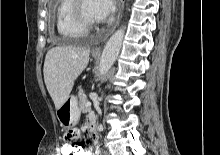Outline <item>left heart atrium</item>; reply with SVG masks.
<instances>
[{"instance_id":"39dd6f15","label":"left heart atrium","mask_w":220,"mask_h":155,"mask_svg":"<svg viewBox=\"0 0 220 155\" xmlns=\"http://www.w3.org/2000/svg\"><path fill=\"white\" fill-rule=\"evenodd\" d=\"M115 9L114 0H93L92 10L97 20L109 17Z\"/></svg>"}]
</instances>
